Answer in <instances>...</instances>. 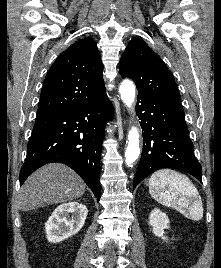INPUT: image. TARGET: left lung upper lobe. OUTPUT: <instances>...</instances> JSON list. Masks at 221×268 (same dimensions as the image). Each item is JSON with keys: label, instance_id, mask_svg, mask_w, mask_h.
<instances>
[{"label": "left lung upper lobe", "instance_id": "1", "mask_svg": "<svg viewBox=\"0 0 221 268\" xmlns=\"http://www.w3.org/2000/svg\"><path fill=\"white\" fill-rule=\"evenodd\" d=\"M120 74L135 82L138 94L181 100L171 71L141 39L128 43L120 60Z\"/></svg>", "mask_w": 221, "mask_h": 268}]
</instances>
